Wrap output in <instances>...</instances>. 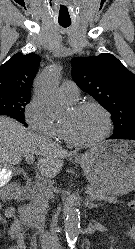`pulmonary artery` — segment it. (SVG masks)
Wrapping results in <instances>:
<instances>
[{
	"label": "pulmonary artery",
	"mask_w": 135,
	"mask_h": 249,
	"mask_svg": "<svg viewBox=\"0 0 135 249\" xmlns=\"http://www.w3.org/2000/svg\"><path fill=\"white\" fill-rule=\"evenodd\" d=\"M60 93L65 99L74 102L79 98L80 92L74 81L66 80L60 85Z\"/></svg>",
	"instance_id": "e3ab8cb5"
}]
</instances>
